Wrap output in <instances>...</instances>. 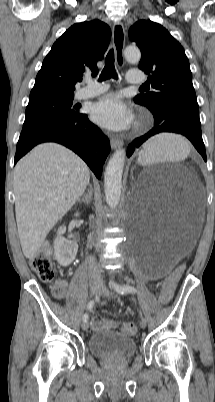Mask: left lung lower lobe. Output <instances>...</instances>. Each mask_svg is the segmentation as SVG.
Instances as JSON below:
<instances>
[{"label": "left lung lower lobe", "instance_id": "obj_1", "mask_svg": "<svg viewBox=\"0 0 215 402\" xmlns=\"http://www.w3.org/2000/svg\"><path fill=\"white\" fill-rule=\"evenodd\" d=\"M154 117V126L146 134L133 140L127 148V156H131L136 148L150 137L163 133L173 132L186 136L206 161V150L202 139L199 117L177 109L155 110L148 108Z\"/></svg>", "mask_w": 215, "mask_h": 402}]
</instances>
